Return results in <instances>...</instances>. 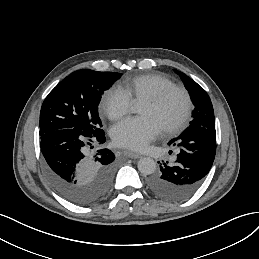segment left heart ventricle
<instances>
[{
  "label": "left heart ventricle",
  "mask_w": 259,
  "mask_h": 259,
  "mask_svg": "<svg viewBox=\"0 0 259 259\" xmlns=\"http://www.w3.org/2000/svg\"><path fill=\"white\" fill-rule=\"evenodd\" d=\"M184 109V100L180 94H174L163 104L154 106L144 100L139 114L153 118L162 128L174 124Z\"/></svg>",
  "instance_id": "b2bd125f"
}]
</instances>
